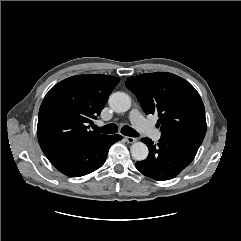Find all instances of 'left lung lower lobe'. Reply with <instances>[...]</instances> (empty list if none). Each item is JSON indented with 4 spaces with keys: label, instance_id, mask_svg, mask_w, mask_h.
Here are the masks:
<instances>
[{
    "label": "left lung lower lobe",
    "instance_id": "left-lung-lower-lobe-1",
    "mask_svg": "<svg viewBox=\"0 0 241 241\" xmlns=\"http://www.w3.org/2000/svg\"><path fill=\"white\" fill-rule=\"evenodd\" d=\"M149 148L147 159L136 163L144 175L158 181L173 179L194 159L203 140L194 138L162 137L157 145L142 138Z\"/></svg>",
    "mask_w": 241,
    "mask_h": 241
}]
</instances>
